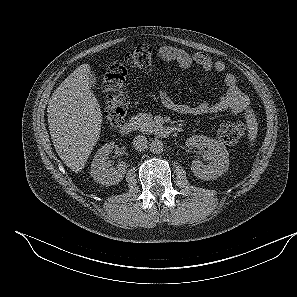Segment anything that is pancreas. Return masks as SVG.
<instances>
[{
  "label": "pancreas",
  "mask_w": 297,
  "mask_h": 297,
  "mask_svg": "<svg viewBox=\"0 0 297 297\" xmlns=\"http://www.w3.org/2000/svg\"><path fill=\"white\" fill-rule=\"evenodd\" d=\"M132 121L136 124V128L142 133H152L158 127L148 114L140 113L133 117Z\"/></svg>",
  "instance_id": "obj_1"
}]
</instances>
